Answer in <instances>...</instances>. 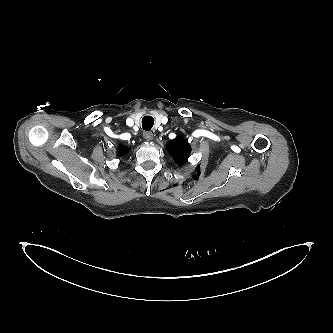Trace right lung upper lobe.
Returning a JSON list of instances; mask_svg holds the SVG:
<instances>
[{
  "label": "right lung upper lobe",
  "mask_w": 333,
  "mask_h": 333,
  "mask_svg": "<svg viewBox=\"0 0 333 333\" xmlns=\"http://www.w3.org/2000/svg\"><path fill=\"white\" fill-rule=\"evenodd\" d=\"M117 152H118V156L121 157V156H124V155H126L128 153V149L126 147H124L123 145H121L118 148Z\"/></svg>",
  "instance_id": "obj_1"
}]
</instances>
